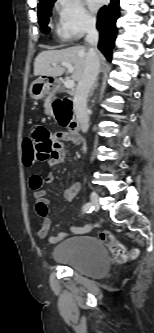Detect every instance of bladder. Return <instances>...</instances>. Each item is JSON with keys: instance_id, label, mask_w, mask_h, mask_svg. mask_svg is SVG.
I'll list each match as a JSON object with an SVG mask.
<instances>
[{"instance_id": "obj_1", "label": "bladder", "mask_w": 154, "mask_h": 333, "mask_svg": "<svg viewBox=\"0 0 154 333\" xmlns=\"http://www.w3.org/2000/svg\"><path fill=\"white\" fill-rule=\"evenodd\" d=\"M51 257L55 262L93 278H102L108 272L109 258L99 238L84 234L63 239Z\"/></svg>"}]
</instances>
